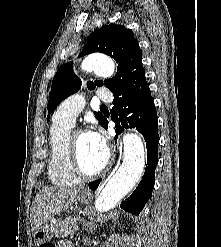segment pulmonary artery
Masks as SVG:
<instances>
[{
    "label": "pulmonary artery",
    "instance_id": "1",
    "mask_svg": "<svg viewBox=\"0 0 221 247\" xmlns=\"http://www.w3.org/2000/svg\"><path fill=\"white\" fill-rule=\"evenodd\" d=\"M97 97L106 102L112 100V94L109 90H99L97 92ZM84 106L85 99L82 94L72 95L62 102L57 109L54 118L69 125H73Z\"/></svg>",
    "mask_w": 221,
    "mask_h": 247
}]
</instances>
